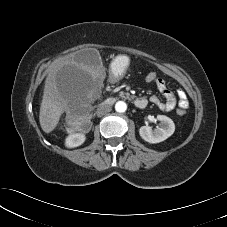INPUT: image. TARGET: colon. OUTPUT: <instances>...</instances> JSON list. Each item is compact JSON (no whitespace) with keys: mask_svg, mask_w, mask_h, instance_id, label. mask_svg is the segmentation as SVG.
Instances as JSON below:
<instances>
[{"mask_svg":"<svg viewBox=\"0 0 227 227\" xmlns=\"http://www.w3.org/2000/svg\"><path fill=\"white\" fill-rule=\"evenodd\" d=\"M158 79V74L155 71H149L145 74L144 80L148 83H155ZM177 113L179 115L185 114V109H178ZM87 123V114L86 112H78L71 116L70 124L73 129H79L85 126Z\"/></svg>","mask_w":227,"mask_h":227,"instance_id":"colon-1","label":"colon"}]
</instances>
